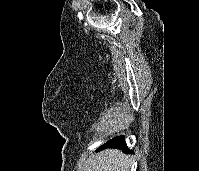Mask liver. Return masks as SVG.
Masks as SVG:
<instances>
[{"label":"liver","mask_w":199,"mask_h":171,"mask_svg":"<svg viewBox=\"0 0 199 171\" xmlns=\"http://www.w3.org/2000/svg\"><path fill=\"white\" fill-rule=\"evenodd\" d=\"M131 164L121 151L108 149L93 157L86 171H129Z\"/></svg>","instance_id":"liver-1"}]
</instances>
